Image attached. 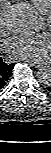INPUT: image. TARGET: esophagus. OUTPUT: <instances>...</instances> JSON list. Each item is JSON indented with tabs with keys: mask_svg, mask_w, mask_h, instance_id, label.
Here are the masks:
<instances>
[{
	"mask_svg": "<svg viewBox=\"0 0 51 153\" xmlns=\"http://www.w3.org/2000/svg\"><path fill=\"white\" fill-rule=\"evenodd\" d=\"M24 62L28 63L31 66L40 67L43 63H37L33 61L24 60Z\"/></svg>",
	"mask_w": 51,
	"mask_h": 153,
	"instance_id": "obj_1",
	"label": "esophagus"
}]
</instances>
